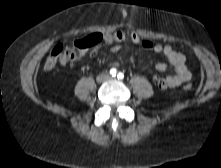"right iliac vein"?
Instances as JSON below:
<instances>
[{
    "label": "right iliac vein",
    "instance_id": "1",
    "mask_svg": "<svg viewBox=\"0 0 221 168\" xmlns=\"http://www.w3.org/2000/svg\"><path fill=\"white\" fill-rule=\"evenodd\" d=\"M104 80H105V76H102V75L97 78L98 82H103Z\"/></svg>",
    "mask_w": 221,
    "mask_h": 168
}]
</instances>
